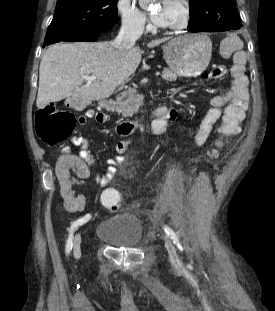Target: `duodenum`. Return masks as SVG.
I'll use <instances>...</instances> for the list:
<instances>
[{"mask_svg":"<svg viewBox=\"0 0 275 311\" xmlns=\"http://www.w3.org/2000/svg\"><path fill=\"white\" fill-rule=\"evenodd\" d=\"M100 103L103 107H106L109 109L114 107V102L112 99H102L100 100ZM156 110H164V107L160 106L156 108ZM138 125L139 124L137 121H124V122H120L119 124H117L116 129L119 134L128 135L132 133L138 127Z\"/></svg>","mask_w":275,"mask_h":311,"instance_id":"duodenum-1","label":"duodenum"}]
</instances>
